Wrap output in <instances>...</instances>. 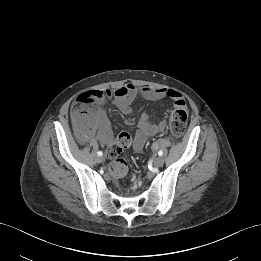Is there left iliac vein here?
<instances>
[{
	"instance_id": "1",
	"label": "left iliac vein",
	"mask_w": 261,
	"mask_h": 261,
	"mask_svg": "<svg viewBox=\"0 0 261 261\" xmlns=\"http://www.w3.org/2000/svg\"><path fill=\"white\" fill-rule=\"evenodd\" d=\"M164 164V159L161 156H158L154 159V166L159 168L161 166H163Z\"/></svg>"
}]
</instances>
